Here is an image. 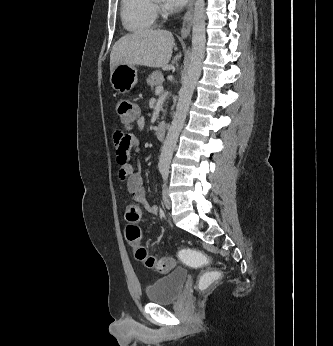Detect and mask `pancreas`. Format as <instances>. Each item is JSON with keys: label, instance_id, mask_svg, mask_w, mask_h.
Here are the masks:
<instances>
[{"label": "pancreas", "instance_id": "cf45deb5", "mask_svg": "<svg viewBox=\"0 0 333 346\" xmlns=\"http://www.w3.org/2000/svg\"><path fill=\"white\" fill-rule=\"evenodd\" d=\"M163 81L164 77L160 71H154L147 79V83L151 86V88L160 86Z\"/></svg>", "mask_w": 333, "mask_h": 346}]
</instances>
